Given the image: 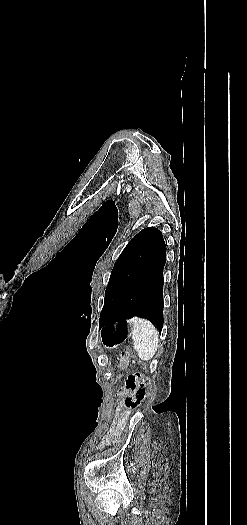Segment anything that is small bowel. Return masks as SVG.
<instances>
[{"instance_id": "obj_1", "label": "small bowel", "mask_w": 247, "mask_h": 525, "mask_svg": "<svg viewBox=\"0 0 247 525\" xmlns=\"http://www.w3.org/2000/svg\"><path fill=\"white\" fill-rule=\"evenodd\" d=\"M126 391L129 390V388H127L126 386ZM121 421H116L114 422V424L112 425V427L110 428L108 434L105 436L104 440H103V443H108L110 440H112L113 438H115L118 434H119V431H120V428H121Z\"/></svg>"}]
</instances>
